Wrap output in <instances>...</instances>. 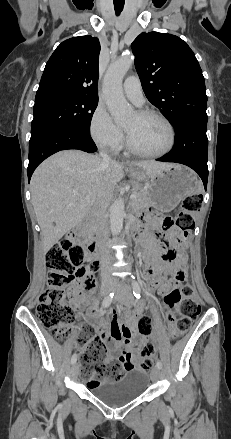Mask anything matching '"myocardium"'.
<instances>
[{
	"mask_svg": "<svg viewBox=\"0 0 231 439\" xmlns=\"http://www.w3.org/2000/svg\"><path fill=\"white\" fill-rule=\"evenodd\" d=\"M137 114L139 116L145 117V116H153L156 117L158 119H160L168 128L169 130V143L168 145L161 151L158 152H154V153H146V152H142L138 149H136L132 143L130 142L128 133L125 130V144H126V148L127 150L137 156V157H141V158H159L162 157L166 154H168L175 146L176 143V131L174 128V125L172 124V122L161 112L157 111V110H153V109H142L137 111Z\"/></svg>",
	"mask_w": 231,
	"mask_h": 439,
	"instance_id": "obj_1",
	"label": "myocardium"
}]
</instances>
